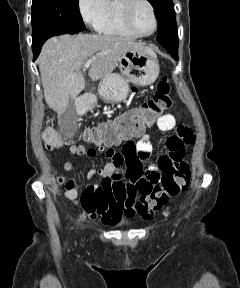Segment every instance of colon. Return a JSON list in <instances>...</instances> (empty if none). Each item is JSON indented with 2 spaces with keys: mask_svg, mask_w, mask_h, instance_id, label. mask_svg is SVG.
<instances>
[{
  "mask_svg": "<svg viewBox=\"0 0 240 288\" xmlns=\"http://www.w3.org/2000/svg\"><path fill=\"white\" fill-rule=\"evenodd\" d=\"M171 85L167 78H162L156 87L154 95L141 106L131 109L112 123L99 126L84 134L87 142L116 140L133 135L152 125L172 104ZM43 140L48 149H55L63 144L62 138L52 128L43 133ZM191 170L185 161H181L174 173L165 174L160 184L154 186L148 194L141 195L135 203V211L143 218L149 219L155 215L170 199L184 191L190 182ZM60 182H64L60 179ZM67 192L77 191L73 181L65 184Z\"/></svg>",
  "mask_w": 240,
  "mask_h": 288,
  "instance_id": "5ec220e1",
  "label": "colon"
}]
</instances>
